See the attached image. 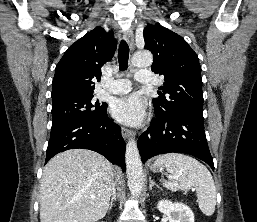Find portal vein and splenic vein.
<instances>
[{"label":"portal vein and splenic vein","mask_w":257,"mask_h":222,"mask_svg":"<svg viewBox=\"0 0 257 222\" xmlns=\"http://www.w3.org/2000/svg\"><path fill=\"white\" fill-rule=\"evenodd\" d=\"M91 199H94V196H91Z\"/></svg>","instance_id":"obj_1"}]
</instances>
